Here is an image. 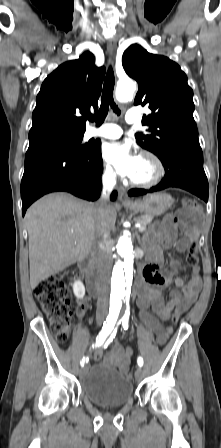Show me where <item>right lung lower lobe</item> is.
<instances>
[{
	"mask_svg": "<svg viewBox=\"0 0 221 448\" xmlns=\"http://www.w3.org/2000/svg\"><path fill=\"white\" fill-rule=\"evenodd\" d=\"M103 161L100 145L88 152H79L64 145H48L28 149L21 181L22 215L44 194L67 191L94 201L102 189ZM117 193L111 194V200Z\"/></svg>",
	"mask_w": 221,
	"mask_h": 448,
	"instance_id": "1",
	"label": "right lung lower lobe"
}]
</instances>
